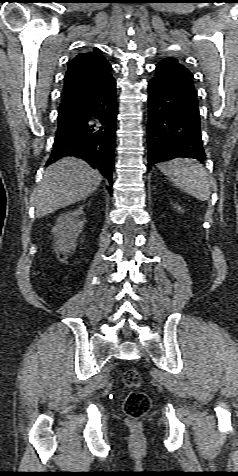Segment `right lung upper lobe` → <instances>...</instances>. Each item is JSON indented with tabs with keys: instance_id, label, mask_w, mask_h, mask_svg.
I'll list each match as a JSON object with an SVG mask.
<instances>
[{
	"instance_id": "right-lung-upper-lobe-1",
	"label": "right lung upper lobe",
	"mask_w": 238,
	"mask_h": 476,
	"mask_svg": "<svg viewBox=\"0 0 238 476\" xmlns=\"http://www.w3.org/2000/svg\"><path fill=\"white\" fill-rule=\"evenodd\" d=\"M111 70L98 48L77 54L68 64L59 111L76 106L98 93L113 78Z\"/></svg>"
}]
</instances>
